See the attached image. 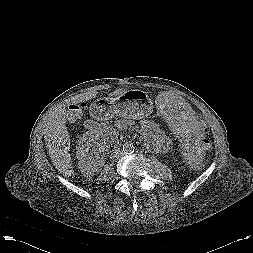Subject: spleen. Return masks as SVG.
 <instances>
[{"mask_svg":"<svg viewBox=\"0 0 253 253\" xmlns=\"http://www.w3.org/2000/svg\"><path fill=\"white\" fill-rule=\"evenodd\" d=\"M158 117L176 140L182 167L191 173L209 164L212 144L196 106L173 91L161 93L155 102Z\"/></svg>","mask_w":253,"mask_h":253,"instance_id":"3e777b00","label":"spleen"}]
</instances>
